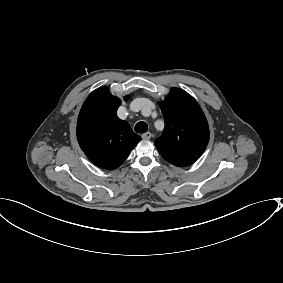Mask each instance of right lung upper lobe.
I'll list each match as a JSON object with an SVG mask.
<instances>
[{
	"label": "right lung upper lobe",
	"instance_id": "cb5924a9",
	"mask_svg": "<svg viewBox=\"0 0 283 283\" xmlns=\"http://www.w3.org/2000/svg\"><path fill=\"white\" fill-rule=\"evenodd\" d=\"M120 103L106 87H100L84 102L77 122L81 149L90 161L107 170L118 168L141 140L126 121L117 117Z\"/></svg>",
	"mask_w": 283,
	"mask_h": 283
}]
</instances>
